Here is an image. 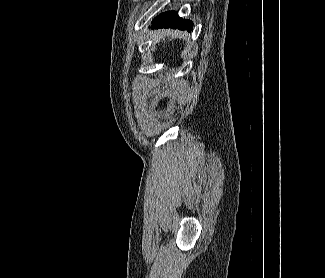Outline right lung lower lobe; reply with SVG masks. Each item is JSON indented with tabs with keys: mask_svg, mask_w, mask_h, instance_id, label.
Returning <instances> with one entry per match:
<instances>
[{
	"mask_svg": "<svg viewBox=\"0 0 325 278\" xmlns=\"http://www.w3.org/2000/svg\"><path fill=\"white\" fill-rule=\"evenodd\" d=\"M168 28L171 27L173 29H179V30H187L191 31L193 24L190 20H184L181 19L177 13L174 11H169L166 13L160 14L158 17H156L153 22L151 28Z\"/></svg>",
	"mask_w": 325,
	"mask_h": 278,
	"instance_id": "1",
	"label": "right lung lower lobe"
}]
</instances>
